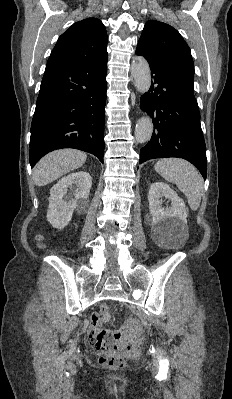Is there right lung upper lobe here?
Instances as JSON below:
<instances>
[{"instance_id": "1", "label": "right lung upper lobe", "mask_w": 232, "mask_h": 399, "mask_svg": "<svg viewBox=\"0 0 232 399\" xmlns=\"http://www.w3.org/2000/svg\"><path fill=\"white\" fill-rule=\"evenodd\" d=\"M107 33L99 19L87 18L74 23L63 33L47 64H71L105 58Z\"/></svg>"}]
</instances>
